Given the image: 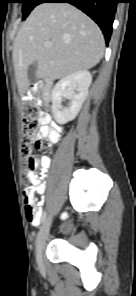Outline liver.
Instances as JSON below:
<instances>
[{"instance_id":"6515ba94","label":"liver","mask_w":136,"mask_h":296,"mask_svg":"<svg viewBox=\"0 0 136 296\" xmlns=\"http://www.w3.org/2000/svg\"><path fill=\"white\" fill-rule=\"evenodd\" d=\"M51 43L45 47V43ZM104 37L97 24L68 3L36 6L20 28L13 49L18 91L29 85L27 70L37 64L36 77L60 79L99 63L104 54Z\"/></svg>"}]
</instances>
